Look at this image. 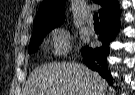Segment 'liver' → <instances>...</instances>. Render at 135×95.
<instances>
[{
	"label": "liver",
	"mask_w": 135,
	"mask_h": 95,
	"mask_svg": "<svg viewBox=\"0 0 135 95\" xmlns=\"http://www.w3.org/2000/svg\"><path fill=\"white\" fill-rule=\"evenodd\" d=\"M106 81L86 66L52 63L35 69L28 77L25 95H104Z\"/></svg>",
	"instance_id": "liver-1"
}]
</instances>
